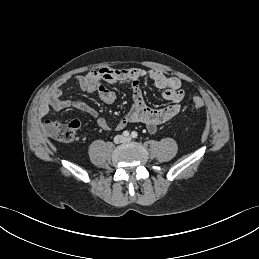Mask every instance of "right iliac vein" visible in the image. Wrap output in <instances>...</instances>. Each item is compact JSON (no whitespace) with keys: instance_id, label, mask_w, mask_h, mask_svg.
<instances>
[{"instance_id":"obj_1","label":"right iliac vein","mask_w":259,"mask_h":259,"mask_svg":"<svg viewBox=\"0 0 259 259\" xmlns=\"http://www.w3.org/2000/svg\"><path fill=\"white\" fill-rule=\"evenodd\" d=\"M123 141V137L122 136H117V137H115V139H114V142L115 143H121Z\"/></svg>"}]
</instances>
